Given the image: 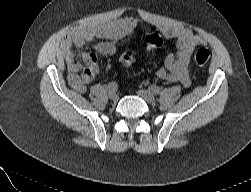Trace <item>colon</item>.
Segmentation results:
<instances>
[{
  "instance_id": "5ec220e1",
  "label": "colon",
  "mask_w": 251,
  "mask_h": 192,
  "mask_svg": "<svg viewBox=\"0 0 251 192\" xmlns=\"http://www.w3.org/2000/svg\"><path fill=\"white\" fill-rule=\"evenodd\" d=\"M145 44L150 48H156L162 45L163 39L157 32L149 33L146 35ZM210 58V52L206 48H199L194 53V61L197 65H205ZM135 61V55L131 50H125L120 57V62L123 68H130Z\"/></svg>"
}]
</instances>
